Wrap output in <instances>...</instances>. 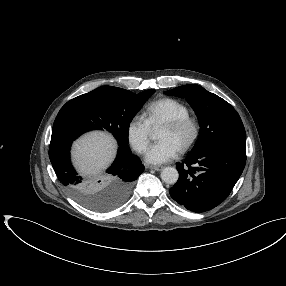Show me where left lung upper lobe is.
I'll use <instances>...</instances> for the list:
<instances>
[{"mask_svg": "<svg viewBox=\"0 0 286 286\" xmlns=\"http://www.w3.org/2000/svg\"><path fill=\"white\" fill-rule=\"evenodd\" d=\"M165 94L187 99L197 114L200 134L190 153L216 145L245 148L246 134L241 118L224 99L196 84L179 86Z\"/></svg>", "mask_w": 286, "mask_h": 286, "instance_id": "obj_1", "label": "left lung upper lobe"}]
</instances>
